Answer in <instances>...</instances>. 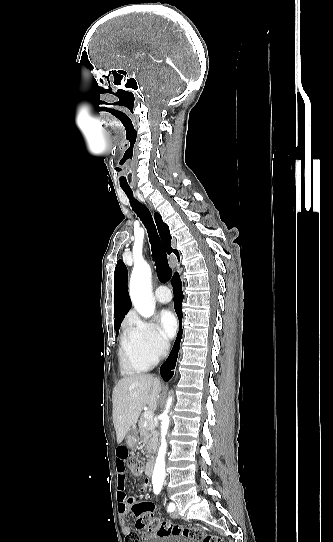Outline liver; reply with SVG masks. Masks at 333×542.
<instances>
[{
  "instance_id": "6515ba94",
  "label": "liver",
  "mask_w": 333,
  "mask_h": 542,
  "mask_svg": "<svg viewBox=\"0 0 333 542\" xmlns=\"http://www.w3.org/2000/svg\"><path fill=\"white\" fill-rule=\"evenodd\" d=\"M161 384L150 374H129L119 380L113 390V424L117 444L123 442L145 406L156 410Z\"/></svg>"
}]
</instances>
